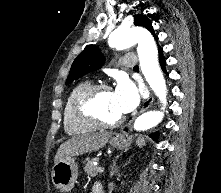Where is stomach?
<instances>
[{
  "label": "stomach",
  "mask_w": 221,
  "mask_h": 193,
  "mask_svg": "<svg viewBox=\"0 0 221 193\" xmlns=\"http://www.w3.org/2000/svg\"><path fill=\"white\" fill-rule=\"evenodd\" d=\"M138 146L145 144L144 136H139L136 140ZM110 145L118 149H126L129 146V140L123 135H117L110 140ZM78 176V166L73 158L61 160L52 168V182L61 192L66 193L72 190Z\"/></svg>",
  "instance_id": "1"
}]
</instances>
